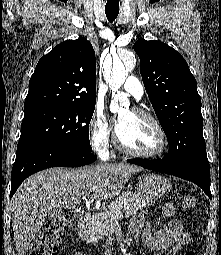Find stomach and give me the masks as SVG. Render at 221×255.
Segmentation results:
<instances>
[{
	"instance_id": "stomach-1",
	"label": "stomach",
	"mask_w": 221,
	"mask_h": 255,
	"mask_svg": "<svg viewBox=\"0 0 221 255\" xmlns=\"http://www.w3.org/2000/svg\"><path fill=\"white\" fill-rule=\"evenodd\" d=\"M170 188V182L157 174L144 175L138 184L140 196L150 202L162 198L170 191Z\"/></svg>"
}]
</instances>
